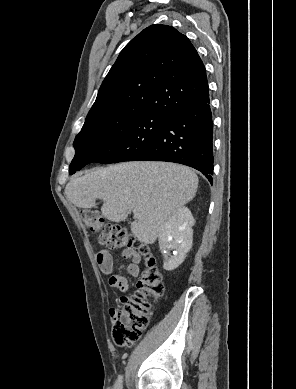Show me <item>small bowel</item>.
Masks as SVG:
<instances>
[{
	"mask_svg": "<svg viewBox=\"0 0 296 389\" xmlns=\"http://www.w3.org/2000/svg\"><path fill=\"white\" fill-rule=\"evenodd\" d=\"M123 256L125 258L132 259L127 267V273L130 277L135 278L139 275L140 267L139 261L140 258L133 249H126L123 251ZM96 261L101 269V271L109 275L108 283L111 287L119 289L121 292H126L130 288V280L122 275L114 274V263L111 252L108 249H101L95 255Z\"/></svg>",
	"mask_w": 296,
	"mask_h": 389,
	"instance_id": "small-bowel-1",
	"label": "small bowel"
}]
</instances>
